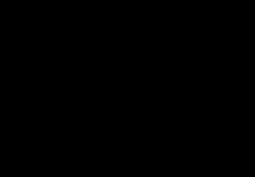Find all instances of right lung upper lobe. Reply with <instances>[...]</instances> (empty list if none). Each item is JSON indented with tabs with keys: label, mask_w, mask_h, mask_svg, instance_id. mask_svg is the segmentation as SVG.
Segmentation results:
<instances>
[{
	"label": "right lung upper lobe",
	"mask_w": 255,
	"mask_h": 177,
	"mask_svg": "<svg viewBox=\"0 0 255 177\" xmlns=\"http://www.w3.org/2000/svg\"><path fill=\"white\" fill-rule=\"evenodd\" d=\"M117 42L102 34L81 33L51 57L45 72L44 95L54 118L69 108L92 106L100 100L99 93L91 88L102 70L105 52Z\"/></svg>",
	"instance_id": "obj_1"
}]
</instances>
